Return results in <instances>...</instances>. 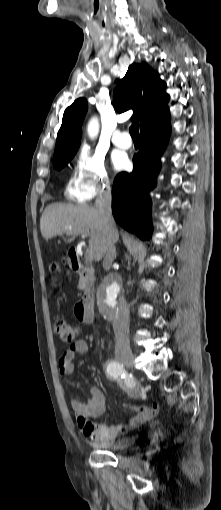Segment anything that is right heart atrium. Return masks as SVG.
Returning <instances> with one entry per match:
<instances>
[{
    "mask_svg": "<svg viewBox=\"0 0 221 510\" xmlns=\"http://www.w3.org/2000/svg\"><path fill=\"white\" fill-rule=\"evenodd\" d=\"M110 189V180L101 154L82 147L68 177L66 193L69 198L86 202Z\"/></svg>",
    "mask_w": 221,
    "mask_h": 510,
    "instance_id": "d8ad5b80",
    "label": "right heart atrium"
}]
</instances>
